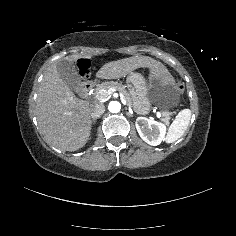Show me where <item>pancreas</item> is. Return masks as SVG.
Masks as SVG:
<instances>
[{"instance_id": "1", "label": "pancreas", "mask_w": 236, "mask_h": 236, "mask_svg": "<svg viewBox=\"0 0 236 236\" xmlns=\"http://www.w3.org/2000/svg\"><path fill=\"white\" fill-rule=\"evenodd\" d=\"M110 88H114V89H116L117 91H119L120 93H122V94L124 95L125 100L128 102V104H131L132 99H131V97H130V94H129V93L127 92V90L125 89V86L122 85V84H120V83H118V82H113V81H111V82H105V83L101 84L100 87H98V88L96 89L95 94L97 95V92H98L100 89H106V90H108V89H110ZM169 115H170L169 112H165V116H166V117H165L164 120H163L164 122H166V123L169 122Z\"/></svg>"}]
</instances>
